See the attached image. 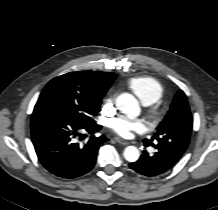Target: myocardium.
<instances>
[{"instance_id":"1","label":"myocardium","mask_w":218,"mask_h":210,"mask_svg":"<svg viewBox=\"0 0 218 210\" xmlns=\"http://www.w3.org/2000/svg\"><path fill=\"white\" fill-rule=\"evenodd\" d=\"M147 114L152 121L156 122L161 118L162 111L160 110L158 105L152 104L149 106Z\"/></svg>"}]
</instances>
